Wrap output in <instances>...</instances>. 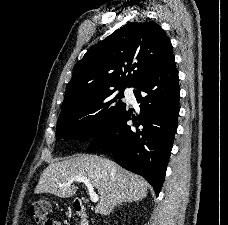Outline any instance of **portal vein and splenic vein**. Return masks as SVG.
I'll return each instance as SVG.
<instances>
[{
	"label": "portal vein and splenic vein",
	"instance_id": "18ae733b",
	"mask_svg": "<svg viewBox=\"0 0 228 225\" xmlns=\"http://www.w3.org/2000/svg\"><path fill=\"white\" fill-rule=\"evenodd\" d=\"M72 181H77V183H85L87 193L90 196V201H92V203H97V201H99V197H98V195H96L94 186H93V184L90 183V181H89V179H87V177H73Z\"/></svg>",
	"mask_w": 228,
	"mask_h": 225
}]
</instances>
